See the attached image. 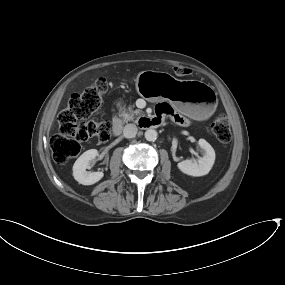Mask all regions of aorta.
<instances>
[{
	"label": "aorta",
	"mask_w": 285,
	"mask_h": 285,
	"mask_svg": "<svg viewBox=\"0 0 285 285\" xmlns=\"http://www.w3.org/2000/svg\"><path fill=\"white\" fill-rule=\"evenodd\" d=\"M144 136L147 141H155L157 139L158 133L154 129H147Z\"/></svg>",
	"instance_id": "762f6f07"
}]
</instances>
